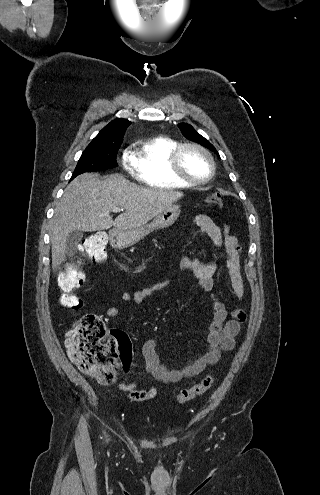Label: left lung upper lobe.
<instances>
[{
  "instance_id": "left-lung-upper-lobe-1",
  "label": "left lung upper lobe",
  "mask_w": 320,
  "mask_h": 495,
  "mask_svg": "<svg viewBox=\"0 0 320 495\" xmlns=\"http://www.w3.org/2000/svg\"><path fill=\"white\" fill-rule=\"evenodd\" d=\"M179 127H180V130H181V132L185 138H187L191 141L197 142V143L201 144L202 146H204V147H206V148L210 149L211 151H214L215 153L218 154L215 147L207 139H205L203 136L198 134L191 125H189L187 123H180Z\"/></svg>"
}]
</instances>
